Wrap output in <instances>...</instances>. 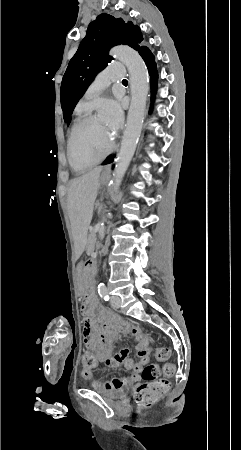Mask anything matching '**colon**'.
I'll use <instances>...</instances> for the list:
<instances>
[{
    "mask_svg": "<svg viewBox=\"0 0 241 450\" xmlns=\"http://www.w3.org/2000/svg\"><path fill=\"white\" fill-rule=\"evenodd\" d=\"M154 356L157 360H166L169 357V350L164 347L156 348ZM80 358L84 359V369L86 371H91L93 366H98L99 364L98 357H92L90 350H81ZM164 368L166 375H173L174 367L171 362L166 364ZM158 374V366L156 364H149L144 367L142 377L147 382H153L158 377ZM167 389L168 382L163 380L139 386L134 392V405L136 409L147 410L152 408Z\"/></svg>",
    "mask_w": 241,
    "mask_h": 450,
    "instance_id": "5ec220e1",
    "label": "colon"
}]
</instances>
